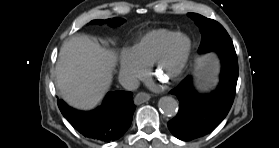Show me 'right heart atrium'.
Segmentation results:
<instances>
[{
    "label": "right heart atrium",
    "instance_id": "right-heart-atrium-1",
    "mask_svg": "<svg viewBox=\"0 0 279 148\" xmlns=\"http://www.w3.org/2000/svg\"><path fill=\"white\" fill-rule=\"evenodd\" d=\"M120 72L129 83L147 75V67L142 64L131 49H126L120 57Z\"/></svg>",
    "mask_w": 279,
    "mask_h": 148
}]
</instances>
